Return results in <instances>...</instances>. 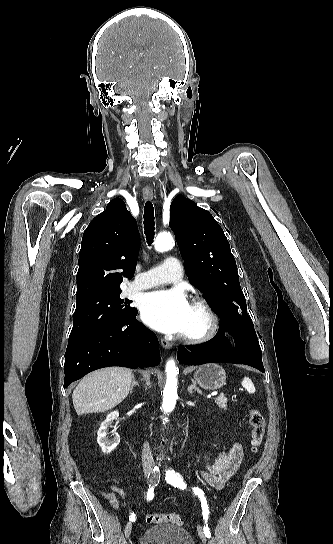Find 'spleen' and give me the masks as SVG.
I'll list each match as a JSON object with an SVG mask.
<instances>
[{
    "instance_id": "3e777b00",
    "label": "spleen",
    "mask_w": 333,
    "mask_h": 544,
    "mask_svg": "<svg viewBox=\"0 0 333 544\" xmlns=\"http://www.w3.org/2000/svg\"><path fill=\"white\" fill-rule=\"evenodd\" d=\"M242 386H243L249 393H254V392H255L254 384L252 383V381H251L248 377H244V379H243V381H242Z\"/></svg>"
}]
</instances>
